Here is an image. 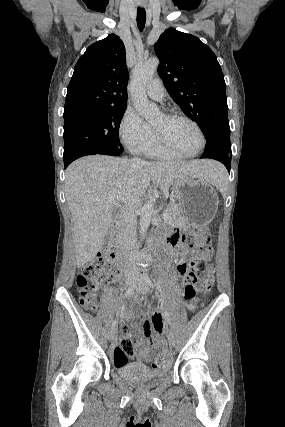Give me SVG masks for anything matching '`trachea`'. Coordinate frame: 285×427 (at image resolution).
Listing matches in <instances>:
<instances>
[{
	"mask_svg": "<svg viewBox=\"0 0 285 427\" xmlns=\"http://www.w3.org/2000/svg\"><path fill=\"white\" fill-rule=\"evenodd\" d=\"M146 22V11L144 8L137 9V26L140 31H143Z\"/></svg>",
	"mask_w": 285,
	"mask_h": 427,
	"instance_id": "3493384b",
	"label": "trachea"
}]
</instances>
